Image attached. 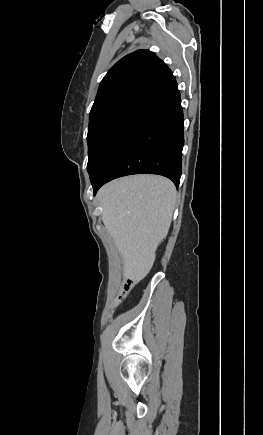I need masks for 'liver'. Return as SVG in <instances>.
I'll return each mask as SVG.
<instances>
[{
	"mask_svg": "<svg viewBox=\"0 0 263 435\" xmlns=\"http://www.w3.org/2000/svg\"><path fill=\"white\" fill-rule=\"evenodd\" d=\"M97 197L105 228L123 257L124 277L137 283L150 272L168 234L176 188L162 176L136 175L104 185Z\"/></svg>",
	"mask_w": 263,
	"mask_h": 435,
	"instance_id": "liver-1",
	"label": "liver"
}]
</instances>
